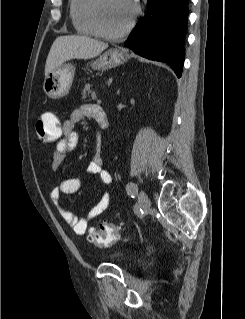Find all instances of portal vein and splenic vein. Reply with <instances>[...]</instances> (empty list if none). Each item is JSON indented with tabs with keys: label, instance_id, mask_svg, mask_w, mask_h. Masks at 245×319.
<instances>
[{
	"label": "portal vein and splenic vein",
	"instance_id": "obj_1",
	"mask_svg": "<svg viewBox=\"0 0 245 319\" xmlns=\"http://www.w3.org/2000/svg\"><path fill=\"white\" fill-rule=\"evenodd\" d=\"M92 98H93V99H97V95H96L95 92L92 93Z\"/></svg>",
	"mask_w": 245,
	"mask_h": 319
}]
</instances>
